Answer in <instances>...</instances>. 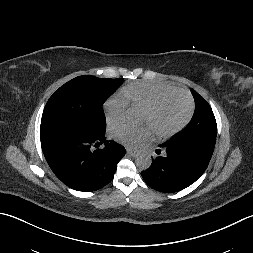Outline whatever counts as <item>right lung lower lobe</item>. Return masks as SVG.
Here are the masks:
<instances>
[{"instance_id":"98d812e1","label":"right lung lower lobe","mask_w":253,"mask_h":253,"mask_svg":"<svg viewBox=\"0 0 253 253\" xmlns=\"http://www.w3.org/2000/svg\"><path fill=\"white\" fill-rule=\"evenodd\" d=\"M105 134L92 136L63 126L40 128L44 156L54 174L68 187L94 191L108 184L125 148L107 141ZM104 143L103 149L92 146Z\"/></svg>"}]
</instances>
